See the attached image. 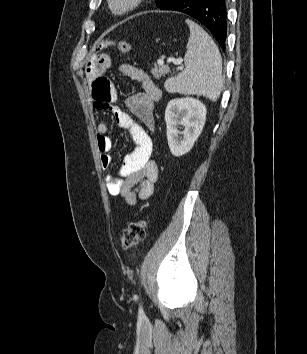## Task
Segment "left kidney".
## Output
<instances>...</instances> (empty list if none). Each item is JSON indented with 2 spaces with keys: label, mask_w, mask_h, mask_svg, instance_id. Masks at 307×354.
<instances>
[{
  "label": "left kidney",
  "mask_w": 307,
  "mask_h": 354,
  "mask_svg": "<svg viewBox=\"0 0 307 354\" xmlns=\"http://www.w3.org/2000/svg\"><path fill=\"white\" fill-rule=\"evenodd\" d=\"M206 113V106L192 97L176 98L168 103L165 110L167 140L174 156H182L192 149L204 127ZM179 126L184 128L182 132Z\"/></svg>",
  "instance_id": "5707ae66"
}]
</instances>
